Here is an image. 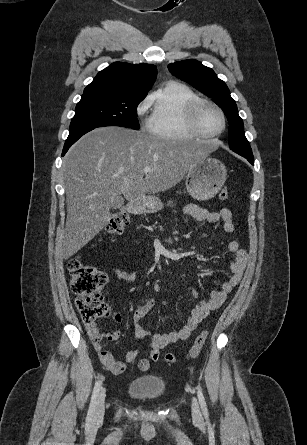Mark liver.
Wrapping results in <instances>:
<instances>
[{
  "label": "liver",
  "mask_w": 307,
  "mask_h": 445,
  "mask_svg": "<svg viewBox=\"0 0 307 445\" xmlns=\"http://www.w3.org/2000/svg\"><path fill=\"white\" fill-rule=\"evenodd\" d=\"M200 158L198 144L155 138L145 130L101 126L84 134L64 162L63 259L75 255L106 227L117 194L132 200L169 190ZM144 166L155 170L143 172Z\"/></svg>",
  "instance_id": "obj_1"
}]
</instances>
